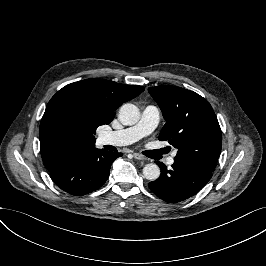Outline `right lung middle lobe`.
<instances>
[{"instance_id":"obj_1","label":"right lung middle lobe","mask_w":266,"mask_h":266,"mask_svg":"<svg viewBox=\"0 0 266 266\" xmlns=\"http://www.w3.org/2000/svg\"><path fill=\"white\" fill-rule=\"evenodd\" d=\"M86 118L93 126H97V120L93 116L87 114Z\"/></svg>"}]
</instances>
